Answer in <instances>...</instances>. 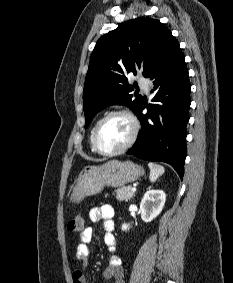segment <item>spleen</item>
<instances>
[{
  "label": "spleen",
  "instance_id": "1",
  "mask_svg": "<svg viewBox=\"0 0 233 283\" xmlns=\"http://www.w3.org/2000/svg\"><path fill=\"white\" fill-rule=\"evenodd\" d=\"M148 166L150 168V182H155L160 176L163 175V173L165 172V169L163 166L149 162Z\"/></svg>",
  "mask_w": 233,
  "mask_h": 283
}]
</instances>
